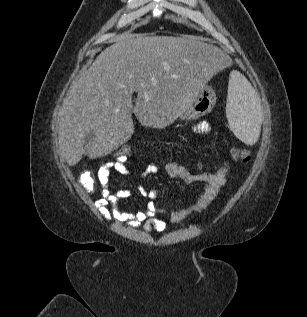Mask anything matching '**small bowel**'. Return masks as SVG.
Listing matches in <instances>:
<instances>
[{"instance_id":"c3829d8e","label":"small bowel","mask_w":307,"mask_h":317,"mask_svg":"<svg viewBox=\"0 0 307 317\" xmlns=\"http://www.w3.org/2000/svg\"><path fill=\"white\" fill-rule=\"evenodd\" d=\"M193 131L207 134L210 131V126L208 122L201 121L193 126ZM160 168H163L172 178L180 179L185 182H200L204 185L202 192L193 202L181 209L170 212V221L175 224L205 210L218 196L229 174L228 169L225 167H220L213 172L191 173L184 166L179 165L175 161H168L162 166L155 162L150 163L143 170L142 175L153 174ZM112 171L121 175L131 176L128 162L124 159L102 162L97 173L101 197L94 202L95 207L99 210L101 215L107 220L115 218L120 221H128L135 226L145 222L144 229L146 231H151L152 229L158 231L164 230L166 224L163 221L154 219L155 214L161 211L155 203V199L159 195L158 190H147L141 184H137L138 193L148 199L146 209L135 213L122 211L119 207L118 200L119 198L127 197L129 192L122 190L113 192L111 190L110 174Z\"/></svg>"}]
</instances>
